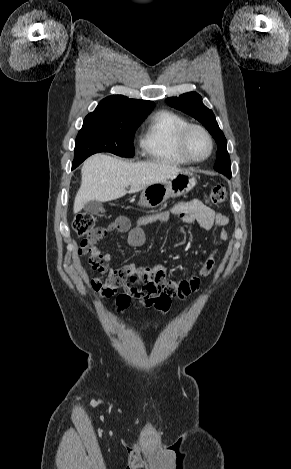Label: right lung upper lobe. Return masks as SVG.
<instances>
[{"label":"right lung upper lobe","mask_w":291,"mask_h":469,"mask_svg":"<svg viewBox=\"0 0 291 469\" xmlns=\"http://www.w3.org/2000/svg\"><path fill=\"white\" fill-rule=\"evenodd\" d=\"M154 105L152 101L129 99L123 95L108 96L101 100L96 109L86 117L107 119L145 118Z\"/></svg>","instance_id":"right-lung-upper-lobe-1"}]
</instances>
